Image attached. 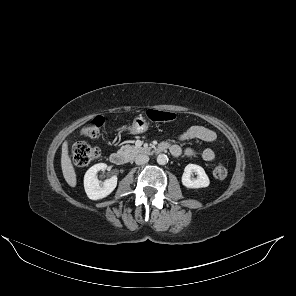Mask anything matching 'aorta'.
<instances>
[{"mask_svg": "<svg viewBox=\"0 0 296 296\" xmlns=\"http://www.w3.org/2000/svg\"><path fill=\"white\" fill-rule=\"evenodd\" d=\"M168 162V157L165 154H159L157 156V163L159 165H165Z\"/></svg>", "mask_w": 296, "mask_h": 296, "instance_id": "762f6f07", "label": "aorta"}]
</instances>
